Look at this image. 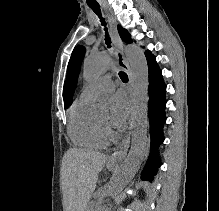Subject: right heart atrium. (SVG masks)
Listing matches in <instances>:
<instances>
[{"instance_id":"1","label":"right heart atrium","mask_w":219,"mask_h":211,"mask_svg":"<svg viewBox=\"0 0 219 211\" xmlns=\"http://www.w3.org/2000/svg\"><path fill=\"white\" fill-rule=\"evenodd\" d=\"M102 129H103V132H104L106 137H110L111 136V132H110V130L106 126H103Z\"/></svg>"}]
</instances>
